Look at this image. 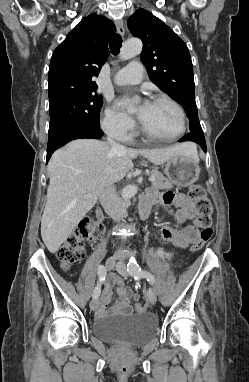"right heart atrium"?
I'll list each match as a JSON object with an SVG mask.
<instances>
[{
  "mask_svg": "<svg viewBox=\"0 0 249 382\" xmlns=\"http://www.w3.org/2000/svg\"><path fill=\"white\" fill-rule=\"evenodd\" d=\"M102 128L110 136L127 141L134 135L136 125L131 118L115 107L108 106L104 112Z\"/></svg>",
  "mask_w": 249,
  "mask_h": 382,
  "instance_id": "1",
  "label": "right heart atrium"
}]
</instances>
